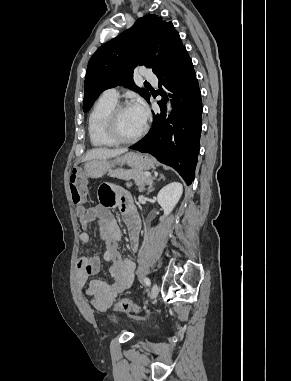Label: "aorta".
Wrapping results in <instances>:
<instances>
[{"instance_id": "obj_1", "label": "aorta", "mask_w": 291, "mask_h": 381, "mask_svg": "<svg viewBox=\"0 0 291 381\" xmlns=\"http://www.w3.org/2000/svg\"><path fill=\"white\" fill-rule=\"evenodd\" d=\"M167 109H168V111H170L172 108H171V103L170 102H168L167 103Z\"/></svg>"}]
</instances>
